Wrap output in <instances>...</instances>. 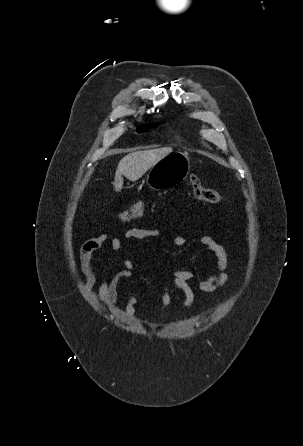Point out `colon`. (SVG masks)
Listing matches in <instances>:
<instances>
[{"label":"colon","mask_w":303,"mask_h":446,"mask_svg":"<svg viewBox=\"0 0 303 446\" xmlns=\"http://www.w3.org/2000/svg\"><path fill=\"white\" fill-rule=\"evenodd\" d=\"M189 184L194 196L204 202L217 204L221 201V196L217 191L203 185L199 177L195 174L189 175ZM147 209V202L141 201L132 207L121 212L118 216L121 223H129L130 221L140 217Z\"/></svg>","instance_id":"1"}]
</instances>
